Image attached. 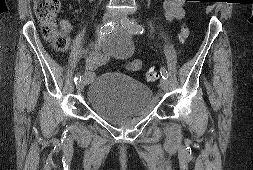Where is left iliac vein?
<instances>
[{
	"mask_svg": "<svg viewBox=\"0 0 253 170\" xmlns=\"http://www.w3.org/2000/svg\"><path fill=\"white\" fill-rule=\"evenodd\" d=\"M112 20L116 24H121L122 27L126 31L132 33V23H135L133 20H131L128 17H125V16L123 18H121V19L118 16H113ZM160 85H161V88H162L163 91H165V92L168 91V89H169V82H168L167 79H161Z\"/></svg>",
	"mask_w": 253,
	"mask_h": 170,
	"instance_id": "4c4485c4",
	"label": "left iliac vein"
}]
</instances>
